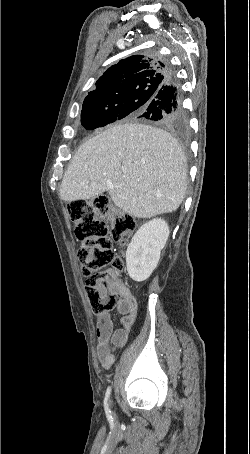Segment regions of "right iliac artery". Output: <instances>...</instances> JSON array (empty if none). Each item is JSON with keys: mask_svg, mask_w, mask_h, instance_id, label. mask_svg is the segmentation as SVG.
Wrapping results in <instances>:
<instances>
[{"mask_svg": "<svg viewBox=\"0 0 250 454\" xmlns=\"http://www.w3.org/2000/svg\"><path fill=\"white\" fill-rule=\"evenodd\" d=\"M110 394H111V387L109 386L107 388V391H106V394H105V407H106V409H108V402L107 401H108V399L110 397Z\"/></svg>", "mask_w": 250, "mask_h": 454, "instance_id": "82829eb1", "label": "right iliac artery"}]
</instances>
